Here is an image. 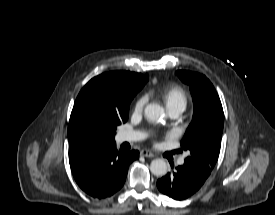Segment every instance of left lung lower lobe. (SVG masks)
Here are the masks:
<instances>
[{"label": "left lung lower lobe", "instance_id": "obj_1", "mask_svg": "<svg viewBox=\"0 0 275 215\" xmlns=\"http://www.w3.org/2000/svg\"><path fill=\"white\" fill-rule=\"evenodd\" d=\"M210 174L184 163L157 181L163 194L175 200H184L196 193Z\"/></svg>", "mask_w": 275, "mask_h": 215}]
</instances>
